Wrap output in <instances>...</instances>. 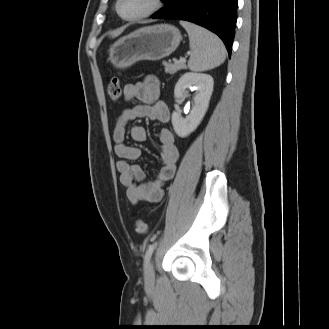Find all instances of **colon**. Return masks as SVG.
I'll return each mask as SVG.
<instances>
[{
    "label": "colon",
    "mask_w": 329,
    "mask_h": 329,
    "mask_svg": "<svg viewBox=\"0 0 329 329\" xmlns=\"http://www.w3.org/2000/svg\"><path fill=\"white\" fill-rule=\"evenodd\" d=\"M107 93L109 98L113 102H117L121 96V86L118 76H112L107 84ZM148 226L146 222L142 219H138L135 222V231L139 235H144L147 233Z\"/></svg>",
    "instance_id": "1"
}]
</instances>
